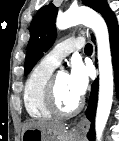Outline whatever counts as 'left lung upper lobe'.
<instances>
[{"label": "left lung upper lobe", "mask_w": 119, "mask_h": 141, "mask_svg": "<svg viewBox=\"0 0 119 141\" xmlns=\"http://www.w3.org/2000/svg\"><path fill=\"white\" fill-rule=\"evenodd\" d=\"M83 4L100 13L106 20L113 12L106 0H82ZM57 8L50 3L42 7L30 25V40L27 46L24 73L27 75L38 60L54 43L56 38L55 20Z\"/></svg>", "instance_id": "left-lung-upper-lobe-1"}]
</instances>
